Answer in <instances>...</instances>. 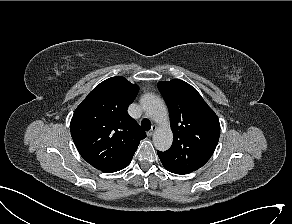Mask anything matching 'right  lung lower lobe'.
<instances>
[{
  "instance_id": "right-lung-lower-lobe-1",
  "label": "right lung lower lobe",
  "mask_w": 292,
  "mask_h": 224,
  "mask_svg": "<svg viewBox=\"0 0 292 224\" xmlns=\"http://www.w3.org/2000/svg\"><path fill=\"white\" fill-rule=\"evenodd\" d=\"M130 162L126 163V164H123V165H120L118 167H115V168H112L110 170H107V171H104V172H108V173H111V172H116V171H119L121 169H124L125 167H127L129 165Z\"/></svg>"
}]
</instances>
